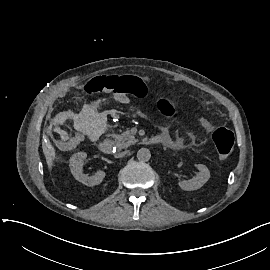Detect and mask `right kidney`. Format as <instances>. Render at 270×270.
<instances>
[{
    "label": "right kidney",
    "instance_id": "1",
    "mask_svg": "<svg viewBox=\"0 0 270 270\" xmlns=\"http://www.w3.org/2000/svg\"><path fill=\"white\" fill-rule=\"evenodd\" d=\"M87 158L85 152H78L71 157L70 168L71 173L74 176L75 180L86 185V186H95L102 183L105 178L106 173L103 170L97 171L94 176L88 177L83 173V163Z\"/></svg>",
    "mask_w": 270,
    "mask_h": 270
}]
</instances>
